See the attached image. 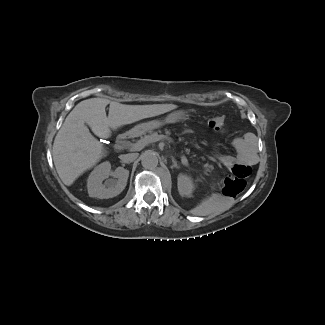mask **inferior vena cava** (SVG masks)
<instances>
[{"label": "inferior vena cava", "instance_id": "602c4592", "mask_svg": "<svg viewBox=\"0 0 325 325\" xmlns=\"http://www.w3.org/2000/svg\"><path fill=\"white\" fill-rule=\"evenodd\" d=\"M137 157L138 154L136 153L124 154L119 156V158L125 163L133 162Z\"/></svg>", "mask_w": 325, "mask_h": 325}]
</instances>
